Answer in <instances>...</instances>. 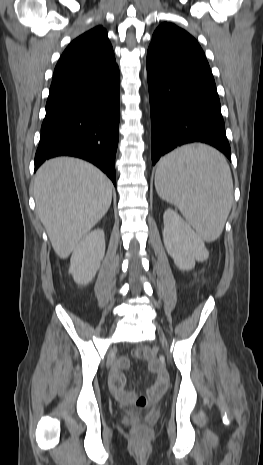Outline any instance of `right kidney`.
Returning a JSON list of instances; mask_svg holds the SVG:
<instances>
[{"instance_id":"1","label":"right kidney","mask_w":263,"mask_h":465,"mask_svg":"<svg viewBox=\"0 0 263 465\" xmlns=\"http://www.w3.org/2000/svg\"><path fill=\"white\" fill-rule=\"evenodd\" d=\"M104 254V231L96 229L86 234L71 256L69 273L74 281L79 285L91 282L100 268Z\"/></svg>"}]
</instances>
